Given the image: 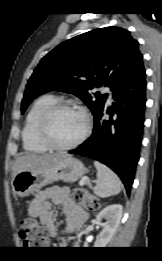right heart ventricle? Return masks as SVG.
Listing matches in <instances>:
<instances>
[{
  "label": "right heart ventricle",
  "instance_id": "e07e8e85",
  "mask_svg": "<svg viewBox=\"0 0 162 261\" xmlns=\"http://www.w3.org/2000/svg\"><path fill=\"white\" fill-rule=\"evenodd\" d=\"M56 101L57 99L55 96L51 94H44L38 97L32 104L27 113L22 130L23 147L26 151L32 153H44L48 151V148L39 138L38 123L45 110Z\"/></svg>",
  "mask_w": 162,
  "mask_h": 261
}]
</instances>
